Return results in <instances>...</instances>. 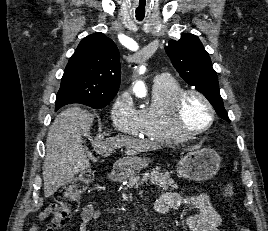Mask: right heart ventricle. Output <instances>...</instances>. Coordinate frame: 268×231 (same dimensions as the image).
<instances>
[{"mask_svg":"<svg viewBox=\"0 0 268 231\" xmlns=\"http://www.w3.org/2000/svg\"><path fill=\"white\" fill-rule=\"evenodd\" d=\"M152 101L140 109L141 133L155 143L173 144L182 141L174 132L170 121L171 102L182 90L174 78L161 77L153 81Z\"/></svg>","mask_w":268,"mask_h":231,"instance_id":"right-heart-ventricle-1","label":"right heart ventricle"}]
</instances>
